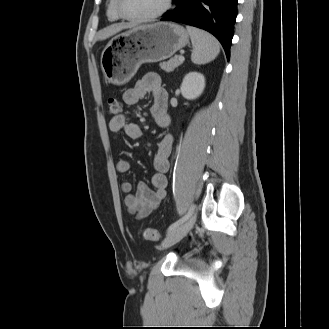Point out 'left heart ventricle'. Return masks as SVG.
<instances>
[{"instance_id":"left-heart-ventricle-1","label":"left heart ventricle","mask_w":329,"mask_h":329,"mask_svg":"<svg viewBox=\"0 0 329 329\" xmlns=\"http://www.w3.org/2000/svg\"><path fill=\"white\" fill-rule=\"evenodd\" d=\"M165 0H122V8L128 15L146 16L159 11Z\"/></svg>"}]
</instances>
